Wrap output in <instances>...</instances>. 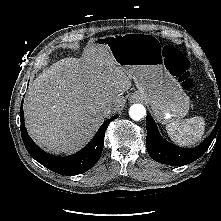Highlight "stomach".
I'll list each match as a JSON object with an SVG mask.
<instances>
[{"mask_svg":"<svg viewBox=\"0 0 221 221\" xmlns=\"http://www.w3.org/2000/svg\"><path fill=\"white\" fill-rule=\"evenodd\" d=\"M93 40L108 47L117 65L136 84L137 91L132 99L149 103L160 123H173L188 113L189 97L166 69L162 47L156 37L145 33H127Z\"/></svg>","mask_w":221,"mask_h":221,"instance_id":"1","label":"stomach"}]
</instances>
